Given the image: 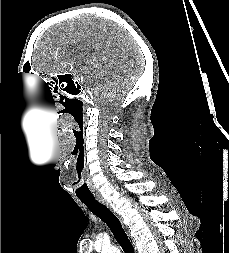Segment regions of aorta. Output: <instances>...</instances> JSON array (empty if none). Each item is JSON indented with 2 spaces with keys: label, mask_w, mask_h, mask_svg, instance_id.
Here are the masks:
<instances>
[{
  "label": "aorta",
  "mask_w": 229,
  "mask_h": 253,
  "mask_svg": "<svg viewBox=\"0 0 229 253\" xmlns=\"http://www.w3.org/2000/svg\"><path fill=\"white\" fill-rule=\"evenodd\" d=\"M101 253H121L117 247H106L102 249Z\"/></svg>",
  "instance_id": "762f6f07"
}]
</instances>
